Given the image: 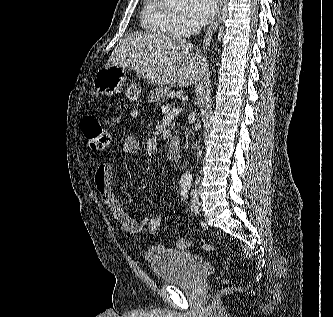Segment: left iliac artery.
Listing matches in <instances>:
<instances>
[{"instance_id":"obj_1","label":"left iliac artery","mask_w":333,"mask_h":317,"mask_svg":"<svg viewBox=\"0 0 333 317\" xmlns=\"http://www.w3.org/2000/svg\"><path fill=\"white\" fill-rule=\"evenodd\" d=\"M189 188H190V187H188V188H186V189H182V191H181V195H182L183 197H187L186 194H187Z\"/></svg>"}]
</instances>
